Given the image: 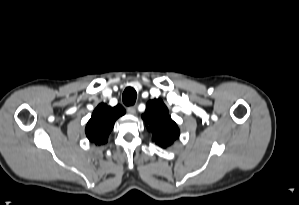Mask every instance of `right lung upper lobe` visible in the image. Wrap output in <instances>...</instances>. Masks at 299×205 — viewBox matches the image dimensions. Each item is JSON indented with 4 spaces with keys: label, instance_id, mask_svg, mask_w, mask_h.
Returning a JSON list of instances; mask_svg holds the SVG:
<instances>
[{
    "label": "right lung upper lobe",
    "instance_id": "obj_1",
    "mask_svg": "<svg viewBox=\"0 0 299 205\" xmlns=\"http://www.w3.org/2000/svg\"><path fill=\"white\" fill-rule=\"evenodd\" d=\"M123 114L125 110L120 105L112 108L104 103L99 104L86 125L87 138L96 145L106 143L116 119Z\"/></svg>",
    "mask_w": 299,
    "mask_h": 205
}]
</instances>
